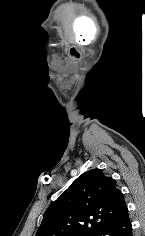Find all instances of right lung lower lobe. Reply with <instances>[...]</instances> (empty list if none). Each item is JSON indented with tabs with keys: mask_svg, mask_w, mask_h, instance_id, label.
Returning a JSON list of instances; mask_svg holds the SVG:
<instances>
[{
	"mask_svg": "<svg viewBox=\"0 0 145 236\" xmlns=\"http://www.w3.org/2000/svg\"><path fill=\"white\" fill-rule=\"evenodd\" d=\"M94 236H132V225L127 207L97 231Z\"/></svg>",
	"mask_w": 145,
	"mask_h": 236,
	"instance_id": "right-lung-lower-lobe-1",
	"label": "right lung lower lobe"
}]
</instances>
